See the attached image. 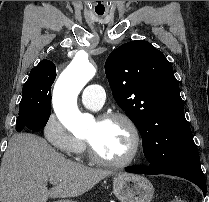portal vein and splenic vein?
<instances>
[{
    "label": "portal vein and splenic vein",
    "instance_id": "18ae733b",
    "mask_svg": "<svg viewBox=\"0 0 209 202\" xmlns=\"http://www.w3.org/2000/svg\"><path fill=\"white\" fill-rule=\"evenodd\" d=\"M50 183L53 184V185L58 184V182H57L56 180H54V179H51V180H50Z\"/></svg>",
    "mask_w": 209,
    "mask_h": 202
}]
</instances>
